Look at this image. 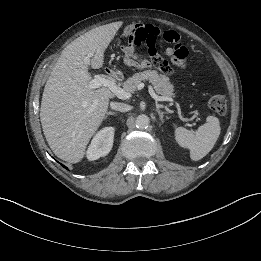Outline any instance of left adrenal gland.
Returning a JSON list of instances; mask_svg holds the SVG:
<instances>
[{"label": "left adrenal gland", "mask_w": 261, "mask_h": 261, "mask_svg": "<svg viewBox=\"0 0 261 261\" xmlns=\"http://www.w3.org/2000/svg\"><path fill=\"white\" fill-rule=\"evenodd\" d=\"M156 112L159 115V119L163 122L164 121V115L168 114V112L160 111L159 109H156Z\"/></svg>", "instance_id": "1"}]
</instances>
